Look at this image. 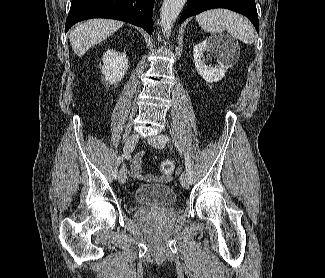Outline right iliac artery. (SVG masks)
Segmentation results:
<instances>
[{
    "instance_id": "right-iliac-artery-1",
    "label": "right iliac artery",
    "mask_w": 325,
    "mask_h": 278,
    "mask_svg": "<svg viewBox=\"0 0 325 278\" xmlns=\"http://www.w3.org/2000/svg\"><path fill=\"white\" fill-rule=\"evenodd\" d=\"M124 158H125V154H122L121 156H119L117 159V165L120 164L124 160ZM112 175L115 179L117 178V176H118L117 166L113 170Z\"/></svg>"
}]
</instances>
